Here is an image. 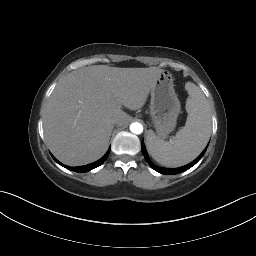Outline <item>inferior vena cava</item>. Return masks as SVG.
Instances as JSON below:
<instances>
[{
  "mask_svg": "<svg viewBox=\"0 0 256 256\" xmlns=\"http://www.w3.org/2000/svg\"><path fill=\"white\" fill-rule=\"evenodd\" d=\"M120 124H121V119L119 117H113L111 119V126L113 128H118L120 126Z\"/></svg>",
  "mask_w": 256,
  "mask_h": 256,
  "instance_id": "inferior-vena-cava-1",
  "label": "inferior vena cava"
}]
</instances>
